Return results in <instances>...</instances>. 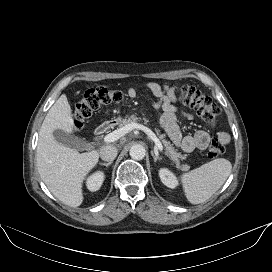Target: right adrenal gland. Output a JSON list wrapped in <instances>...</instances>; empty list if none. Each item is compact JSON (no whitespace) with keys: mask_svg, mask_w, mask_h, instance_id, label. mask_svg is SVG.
<instances>
[{"mask_svg":"<svg viewBox=\"0 0 272 272\" xmlns=\"http://www.w3.org/2000/svg\"><path fill=\"white\" fill-rule=\"evenodd\" d=\"M99 164L108 167V166H110L112 164V161L107 162V163L100 162Z\"/></svg>","mask_w":272,"mask_h":272,"instance_id":"obj_1","label":"right adrenal gland"}]
</instances>
